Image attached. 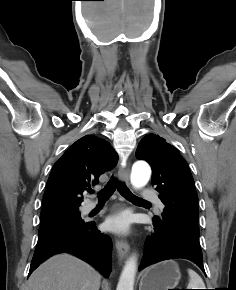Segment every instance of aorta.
<instances>
[{
  "mask_svg": "<svg viewBox=\"0 0 236 290\" xmlns=\"http://www.w3.org/2000/svg\"><path fill=\"white\" fill-rule=\"evenodd\" d=\"M151 176V169L145 162H137L132 167L131 184L134 188L144 187ZM137 272V258L132 255L125 263L116 290H133Z\"/></svg>",
  "mask_w": 236,
  "mask_h": 290,
  "instance_id": "obj_1",
  "label": "aorta"
}]
</instances>
